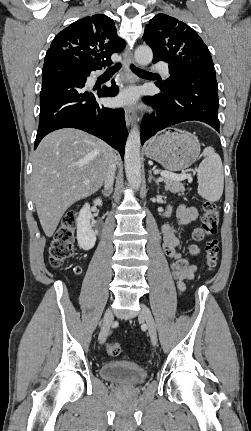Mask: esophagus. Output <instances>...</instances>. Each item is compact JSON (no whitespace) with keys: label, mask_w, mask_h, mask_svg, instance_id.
Here are the masks:
<instances>
[{"label":"esophagus","mask_w":251,"mask_h":431,"mask_svg":"<svg viewBox=\"0 0 251 431\" xmlns=\"http://www.w3.org/2000/svg\"><path fill=\"white\" fill-rule=\"evenodd\" d=\"M134 64H135V60H134L133 52L129 48H126V50H125V69H126L127 82L128 83H134L136 81V77L134 76V74L131 71V65H134ZM125 121H126L127 126H131L133 123L136 122V116H135L134 109L130 106H127L125 108Z\"/></svg>","instance_id":"1"}]
</instances>
